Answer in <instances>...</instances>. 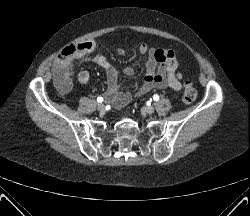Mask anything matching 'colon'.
<instances>
[{
    "label": "colon",
    "instance_id": "1",
    "mask_svg": "<svg viewBox=\"0 0 250 216\" xmlns=\"http://www.w3.org/2000/svg\"><path fill=\"white\" fill-rule=\"evenodd\" d=\"M75 52H76L75 46L69 47L63 52L61 58L59 59V64L61 66V69L64 75H66L67 77L71 72L72 59L75 55ZM182 97L183 101L186 103H191L195 101L197 97V90L190 81H186L184 83Z\"/></svg>",
    "mask_w": 250,
    "mask_h": 216
}]
</instances>
